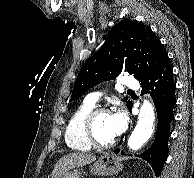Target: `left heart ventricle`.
<instances>
[{
    "label": "left heart ventricle",
    "instance_id": "b2bd125f",
    "mask_svg": "<svg viewBox=\"0 0 194 178\" xmlns=\"http://www.w3.org/2000/svg\"><path fill=\"white\" fill-rule=\"evenodd\" d=\"M111 114H101L99 115L94 124L95 135L98 140L102 142H108L115 138L112 128H111Z\"/></svg>",
    "mask_w": 194,
    "mask_h": 178
}]
</instances>
